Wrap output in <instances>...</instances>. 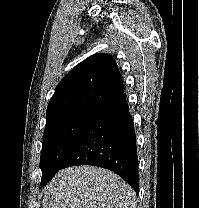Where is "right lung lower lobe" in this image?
I'll return each mask as SVG.
<instances>
[{
  "instance_id": "obj_1",
  "label": "right lung lower lobe",
  "mask_w": 199,
  "mask_h": 208,
  "mask_svg": "<svg viewBox=\"0 0 199 208\" xmlns=\"http://www.w3.org/2000/svg\"><path fill=\"white\" fill-rule=\"evenodd\" d=\"M76 165L109 169L121 176L138 194L136 135L126 94L122 93L100 107L60 169ZM50 180L41 182V185Z\"/></svg>"
}]
</instances>
